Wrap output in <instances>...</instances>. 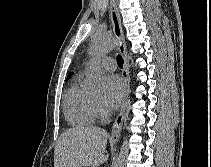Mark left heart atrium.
I'll use <instances>...</instances> for the list:
<instances>
[{
    "label": "left heart atrium",
    "instance_id": "obj_1",
    "mask_svg": "<svg viewBox=\"0 0 211 167\" xmlns=\"http://www.w3.org/2000/svg\"><path fill=\"white\" fill-rule=\"evenodd\" d=\"M124 94V85L121 79L116 75H110L107 78V86L105 95L103 97V107L107 111L115 110L123 97Z\"/></svg>",
    "mask_w": 211,
    "mask_h": 167
}]
</instances>
